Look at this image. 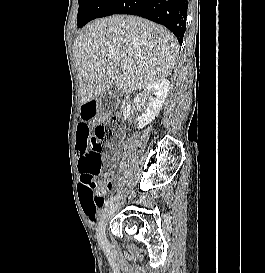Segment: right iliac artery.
<instances>
[{"label": "right iliac artery", "instance_id": "obj_1", "mask_svg": "<svg viewBox=\"0 0 265 273\" xmlns=\"http://www.w3.org/2000/svg\"><path fill=\"white\" fill-rule=\"evenodd\" d=\"M119 195L117 196H113L111 197L106 203H105V206H111L117 199H118Z\"/></svg>", "mask_w": 265, "mask_h": 273}]
</instances>
